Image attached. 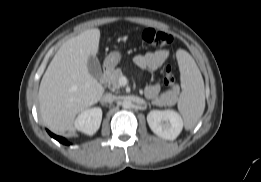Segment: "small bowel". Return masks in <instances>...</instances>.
Returning <instances> with one entry per match:
<instances>
[{
	"label": "small bowel",
	"instance_id": "c3829d8e",
	"mask_svg": "<svg viewBox=\"0 0 261 182\" xmlns=\"http://www.w3.org/2000/svg\"><path fill=\"white\" fill-rule=\"evenodd\" d=\"M169 56L170 53L168 50H156L135 56L134 62L141 69L155 70L165 63ZM159 91L160 86L157 83L146 86L144 90L145 96L149 99L156 98L159 94Z\"/></svg>",
	"mask_w": 261,
	"mask_h": 182
}]
</instances>
